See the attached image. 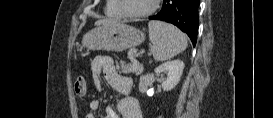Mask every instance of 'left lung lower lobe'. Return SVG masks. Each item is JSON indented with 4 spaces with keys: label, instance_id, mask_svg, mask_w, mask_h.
<instances>
[{
    "label": "left lung lower lobe",
    "instance_id": "1",
    "mask_svg": "<svg viewBox=\"0 0 273 118\" xmlns=\"http://www.w3.org/2000/svg\"><path fill=\"white\" fill-rule=\"evenodd\" d=\"M199 0H163L161 11L150 16V20H161L172 23L184 31L196 45L198 34Z\"/></svg>",
    "mask_w": 273,
    "mask_h": 118
}]
</instances>
